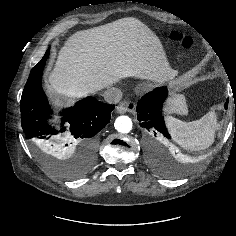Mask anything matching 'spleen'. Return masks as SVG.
<instances>
[{"instance_id": "obj_1", "label": "spleen", "mask_w": 236, "mask_h": 236, "mask_svg": "<svg viewBox=\"0 0 236 236\" xmlns=\"http://www.w3.org/2000/svg\"><path fill=\"white\" fill-rule=\"evenodd\" d=\"M165 121L173 140L186 150H205L214 143L217 117L213 111L191 122H184L170 115L165 116Z\"/></svg>"}]
</instances>
